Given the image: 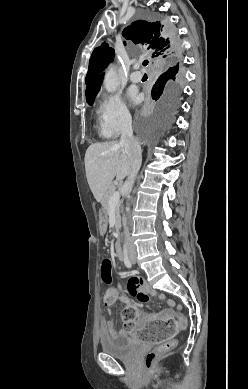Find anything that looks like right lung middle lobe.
Returning <instances> with one entry per match:
<instances>
[{
    "mask_svg": "<svg viewBox=\"0 0 248 389\" xmlns=\"http://www.w3.org/2000/svg\"><path fill=\"white\" fill-rule=\"evenodd\" d=\"M183 79L182 68L179 64L165 74L152 89V98L157 101V115L150 121L148 135L155 137L158 129L166 124L178 107L181 96V80ZM97 92L86 98L89 105H92Z\"/></svg>",
    "mask_w": 248,
    "mask_h": 389,
    "instance_id": "dd1d6c3e",
    "label": "right lung middle lobe"
}]
</instances>
